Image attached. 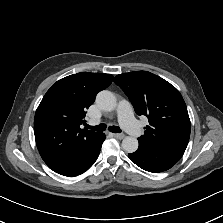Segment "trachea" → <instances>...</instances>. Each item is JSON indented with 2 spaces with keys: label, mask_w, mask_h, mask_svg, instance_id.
Returning <instances> with one entry per match:
<instances>
[{
  "label": "trachea",
  "mask_w": 223,
  "mask_h": 223,
  "mask_svg": "<svg viewBox=\"0 0 223 223\" xmlns=\"http://www.w3.org/2000/svg\"><path fill=\"white\" fill-rule=\"evenodd\" d=\"M107 128L105 124H99L97 126H89L87 125V129H92L94 131H104ZM109 131L113 133H121L122 130L117 126L109 127Z\"/></svg>",
  "instance_id": "3493384b"
}]
</instances>
